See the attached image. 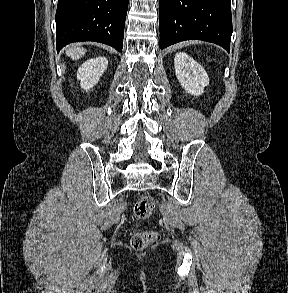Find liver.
I'll use <instances>...</instances> for the list:
<instances>
[{"label": "liver", "mask_w": 288, "mask_h": 293, "mask_svg": "<svg viewBox=\"0 0 288 293\" xmlns=\"http://www.w3.org/2000/svg\"><path fill=\"white\" fill-rule=\"evenodd\" d=\"M86 50L83 47L71 46L66 49V55L71 57L72 60H79L82 56H84Z\"/></svg>", "instance_id": "6515ba94"}]
</instances>
